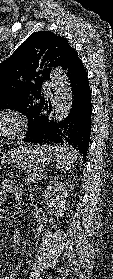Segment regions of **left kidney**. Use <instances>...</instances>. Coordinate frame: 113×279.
Masks as SVG:
<instances>
[{
  "label": "left kidney",
  "mask_w": 113,
  "mask_h": 279,
  "mask_svg": "<svg viewBox=\"0 0 113 279\" xmlns=\"http://www.w3.org/2000/svg\"><path fill=\"white\" fill-rule=\"evenodd\" d=\"M67 191L66 183L54 181L42 193L43 202L53 208V213L57 218L61 217L66 210Z\"/></svg>",
  "instance_id": "1"
}]
</instances>
